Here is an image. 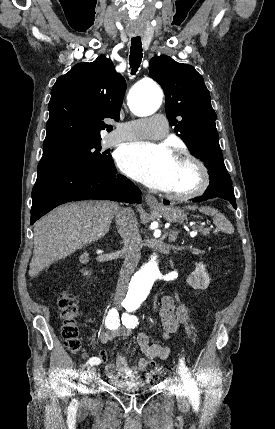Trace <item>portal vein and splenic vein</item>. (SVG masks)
<instances>
[{
	"instance_id": "portal-vein-and-splenic-vein-1",
	"label": "portal vein and splenic vein",
	"mask_w": 275,
	"mask_h": 429,
	"mask_svg": "<svg viewBox=\"0 0 275 429\" xmlns=\"http://www.w3.org/2000/svg\"><path fill=\"white\" fill-rule=\"evenodd\" d=\"M190 235L193 236V235H195V233L194 232H190Z\"/></svg>"
}]
</instances>
